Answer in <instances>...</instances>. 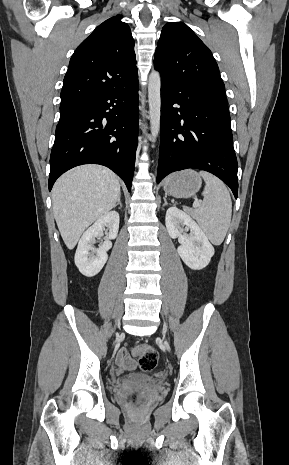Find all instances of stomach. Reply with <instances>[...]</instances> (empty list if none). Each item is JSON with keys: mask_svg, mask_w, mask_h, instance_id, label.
Listing matches in <instances>:
<instances>
[{"mask_svg": "<svg viewBox=\"0 0 289 465\" xmlns=\"http://www.w3.org/2000/svg\"><path fill=\"white\" fill-rule=\"evenodd\" d=\"M202 185L200 175L191 169L179 171L168 176L164 181L166 194L177 198H188L196 194Z\"/></svg>", "mask_w": 289, "mask_h": 465, "instance_id": "1", "label": "stomach"}]
</instances>
